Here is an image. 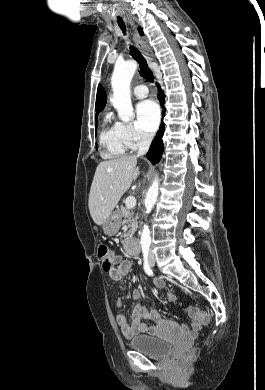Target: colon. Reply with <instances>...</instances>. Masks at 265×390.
Listing matches in <instances>:
<instances>
[{"mask_svg":"<svg viewBox=\"0 0 265 390\" xmlns=\"http://www.w3.org/2000/svg\"><path fill=\"white\" fill-rule=\"evenodd\" d=\"M98 257L100 259V262L102 264V267L104 271L110 272L116 263V258L113 252L110 250V248L105 244H100L98 247ZM167 299L170 303H177V297L174 293L169 292L167 294ZM188 314L196 320H199L202 324H208L209 323V316L208 314L200 310L198 308H189ZM192 355V352L189 353L188 357Z\"/></svg>","mask_w":265,"mask_h":390,"instance_id":"colon-1","label":"colon"}]
</instances>
